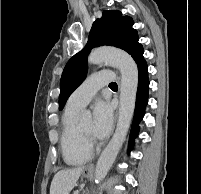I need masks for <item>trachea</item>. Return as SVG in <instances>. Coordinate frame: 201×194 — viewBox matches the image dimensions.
I'll return each instance as SVG.
<instances>
[{
	"mask_svg": "<svg viewBox=\"0 0 201 194\" xmlns=\"http://www.w3.org/2000/svg\"><path fill=\"white\" fill-rule=\"evenodd\" d=\"M109 87H117V84L115 82H112L109 84Z\"/></svg>",
	"mask_w": 201,
	"mask_h": 194,
	"instance_id": "obj_1",
	"label": "trachea"
}]
</instances>
